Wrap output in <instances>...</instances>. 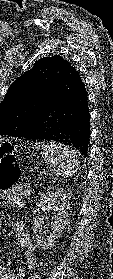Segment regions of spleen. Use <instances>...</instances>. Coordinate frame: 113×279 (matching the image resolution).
Listing matches in <instances>:
<instances>
[{"mask_svg":"<svg viewBox=\"0 0 113 279\" xmlns=\"http://www.w3.org/2000/svg\"><path fill=\"white\" fill-rule=\"evenodd\" d=\"M47 166L52 167L63 178L72 177L80 167L81 154L67 145L54 142H37Z\"/></svg>","mask_w":113,"mask_h":279,"instance_id":"1","label":"spleen"}]
</instances>
